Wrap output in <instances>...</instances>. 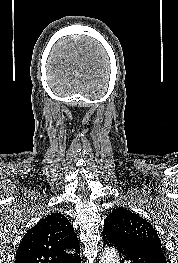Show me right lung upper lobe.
Here are the masks:
<instances>
[{
	"label": "right lung upper lobe",
	"instance_id": "obj_1",
	"mask_svg": "<svg viewBox=\"0 0 178 263\" xmlns=\"http://www.w3.org/2000/svg\"><path fill=\"white\" fill-rule=\"evenodd\" d=\"M80 246L73 226L59 213H52L28 230L14 263H71Z\"/></svg>",
	"mask_w": 178,
	"mask_h": 263
}]
</instances>
